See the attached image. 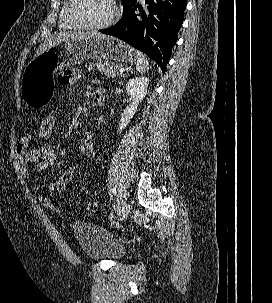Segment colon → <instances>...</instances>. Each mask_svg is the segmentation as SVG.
<instances>
[{
	"label": "colon",
	"mask_w": 272,
	"mask_h": 303,
	"mask_svg": "<svg viewBox=\"0 0 272 303\" xmlns=\"http://www.w3.org/2000/svg\"><path fill=\"white\" fill-rule=\"evenodd\" d=\"M57 116L56 113L53 111L48 112L44 115V117L41 119L40 123L37 126V135L38 138L43 141L45 144L50 142L54 135L57 128ZM76 165L72 164L69 166L65 171H63L58 178V180L55 183L56 191L58 193H61L65 190L67 185L71 182L73 179L75 173H76ZM97 204L95 202H90L87 205V212L92 214L97 211Z\"/></svg>",
	"instance_id": "5ec220e1"
}]
</instances>
